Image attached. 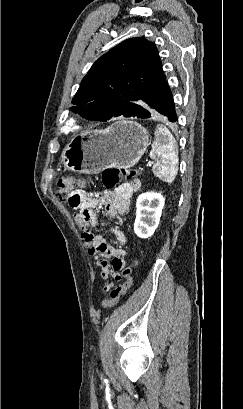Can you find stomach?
Returning a JSON list of instances; mask_svg holds the SVG:
<instances>
[{
	"label": "stomach",
	"mask_w": 243,
	"mask_h": 409,
	"mask_svg": "<svg viewBox=\"0 0 243 409\" xmlns=\"http://www.w3.org/2000/svg\"><path fill=\"white\" fill-rule=\"evenodd\" d=\"M150 135L139 123L120 120L104 130L81 133L62 153L65 169L96 174L109 167L130 168L149 146Z\"/></svg>",
	"instance_id": "0dacf381"
}]
</instances>
